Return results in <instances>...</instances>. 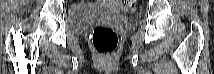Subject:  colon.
Listing matches in <instances>:
<instances>
[{"label":"colon","instance_id":"1","mask_svg":"<svg viewBox=\"0 0 214 74\" xmlns=\"http://www.w3.org/2000/svg\"><path fill=\"white\" fill-rule=\"evenodd\" d=\"M136 0H125L126 8L132 9L136 5ZM92 41L95 49L103 55L111 54L118 44L117 31L109 26H97L93 30Z\"/></svg>","mask_w":214,"mask_h":74}]
</instances>
